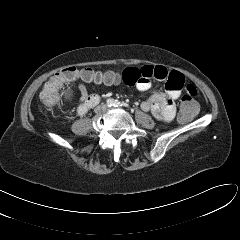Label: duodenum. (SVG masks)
I'll use <instances>...</instances> for the list:
<instances>
[{
	"label": "duodenum",
	"instance_id": "obj_1",
	"mask_svg": "<svg viewBox=\"0 0 240 240\" xmlns=\"http://www.w3.org/2000/svg\"><path fill=\"white\" fill-rule=\"evenodd\" d=\"M98 102H99V98L97 96H91L85 104L79 107L78 113L81 115L86 113L87 110L94 107Z\"/></svg>",
	"mask_w": 240,
	"mask_h": 240
}]
</instances>
